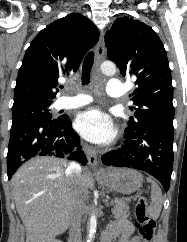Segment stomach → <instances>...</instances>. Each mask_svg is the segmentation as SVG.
<instances>
[{"label": "stomach", "mask_w": 187, "mask_h": 242, "mask_svg": "<svg viewBox=\"0 0 187 242\" xmlns=\"http://www.w3.org/2000/svg\"><path fill=\"white\" fill-rule=\"evenodd\" d=\"M97 181L115 192L130 194L140 189L143 177L134 169L120 168L97 176Z\"/></svg>", "instance_id": "stomach-1"}]
</instances>
